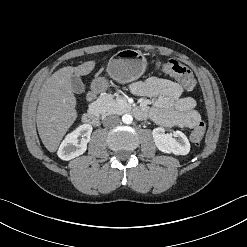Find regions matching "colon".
I'll use <instances>...</instances> for the list:
<instances>
[{
	"label": "colon",
	"mask_w": 247,
	"mask_h": 247,
	"mask_svg": "<svg viewBox=\"0 0 247 247\" xmlns=\"http://www.w3.org/2000/svg\"><path fill=\"white\" fill-rule=\"evenodd\" d=\"M155 67L173 77H175L187 90H191L195 86V78L191 70L177 60L170 59L165 62H154ZM205 126L200 122L191 132L190 139L193 143L198 144L203 139Z\"/></svg>",
	"instance_id": "colon-1"
}]
</instances>
